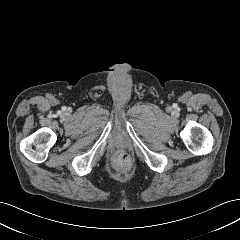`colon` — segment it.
I'll use <instances>...</instances> for the list:
<instances>
[{
	"instance_id": "obj_1",
	"label": "colon",
	"mask_w": 240,
	"mask_h": 240,
	"mask_svg": "<svg viewBox=\"0 0 240 240\" xmlns=\"http://www.w3.org/2000/svg\"><path fill=\"white\" fill-rule=\"evenodd\" d=\"M117 166L122 170H128L131 167V158L125 152H118L115 158Z\"/></svg>"
}]
</instances>
